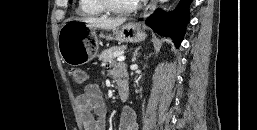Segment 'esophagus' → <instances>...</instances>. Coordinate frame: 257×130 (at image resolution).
I'll use <instances>...</instances> for the list:
<instances>
[{
  "instance_id": "obj_1",
  "label": "esophagus",
  "mask_w": 257,
  "mask_h": 130,
  "mask_svg": "<svg viewBox=\"0 0 257 130\" xmlns=\"http://www.w3.org/2000/svg\"><path fill=\"white\" fill-rule=\"evenodd\" d=\"M157 0H151L144 10L143 17L149 16L156 8Z\"/></svg>"
}]
</instances>
